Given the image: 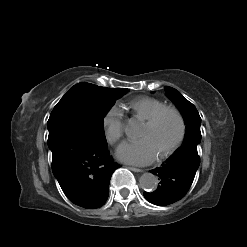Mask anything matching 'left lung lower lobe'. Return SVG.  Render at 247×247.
I'll return each instance as SVG.
<instances>
[{
    "label": "left lung lower lobe",
    "mask_w": 247,
    "mask_h": 247,
    "mask_svg": "<svg viewBox=\"0 0 247 247\" xmlns=\"http://www.w3.org/2000/svg\"><path fill=\"white\" fill-rule=\"evenodd\" d=\"M200 164L197 145L183 144L161 167L152 170L159 176L155 192H144L147 201L167 206L182 199L189 190Z\"/></svg>",
    "instance_id": "left-lung-lower-lobe-1"
}]
</instances>
